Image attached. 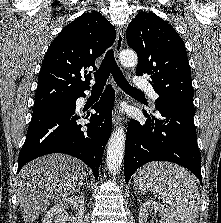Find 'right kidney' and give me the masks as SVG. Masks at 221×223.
Returning <instances> with one entry per match:
<instances>
[{"instance_id":"1","label":"right kidney","mask_w":221,"mask_h":223,"mask_svg":"<svg viewBox=\"0 0 221 223\" xmlns=\"http://www.w3.org/2000/svg\"><path fill=\"white\" fill-rule=\"evenodd\" d=\"M73 209L74 215L68 216L66 210ZM84 215V199L73 195L53 206L44 216L42 223H82Z\"/></svg>"}]
</instances>
